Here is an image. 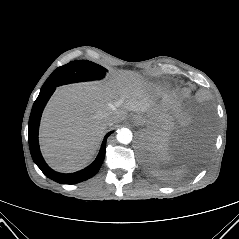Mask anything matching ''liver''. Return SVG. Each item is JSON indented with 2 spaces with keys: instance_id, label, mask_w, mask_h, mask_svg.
I'll return each mask as SVG.
<instances>
[{
  "instance_id": "1",
  "label": "liver",
  "mask_w": 239,
  "mask_h": 239,
  "mask_svg": "<svg viewBox=\"0 0 239 239\" xmlns=\"http://www.w3.org/2000/svg\"><path fill=\"white\" fill-rule=\"evenodd\" d=\"M150 103L139 79L130 71L120 72L105 83L59 87L41 121L43 156L57 171L78 170L93 158L108 125L125 120L130 111L152 113ZM105 113H113L115 120L106 123L102 118ZM176 117L185 122L184 116L177 113Z\"/></svg>"
}]
</instances>
